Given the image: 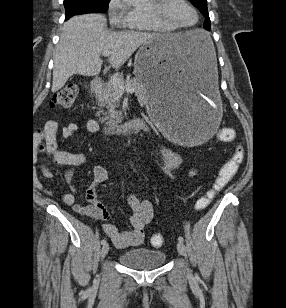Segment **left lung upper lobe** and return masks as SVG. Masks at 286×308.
I'll list each match as a JSON object with an SVG mask.
<instances>
[{
	"mask_svg": "<svg viewBox=\"0 0 286 308\" xmlns=\"http://www.w3.org/2000/svg\"><path fill=\"white\" fill-rule=\"evenodd\" d=\"M194 6H196L200 12L205 16L206 20L204 22V28L206 30H210L211 23L208 15V10H207V0H189Z\"/></svg>",
	"mask_w": 286,
	"mask_h": 308,
	"instance_id": "left-lung-upper-lobe-1",
	"label": "left lung upper lobe"
}]
</instances>
